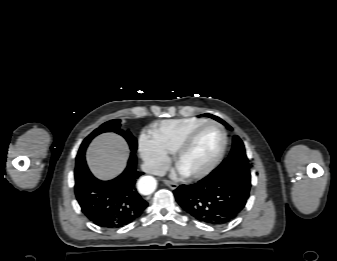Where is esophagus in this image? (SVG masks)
<instances>
[{"instance_id":"obj_1","label":"esophagus","mask_w":337,"mask_h":261,"mask_svg":"<svg viewBox=\"0 0 337 261\" xmlns=\"http://www.w3.org/2000/svg\"><path fill=\"white\" fill-rule=\"evenodd\" d=\"M165 185L168 186L171 189H176L178 187V184L169 180L164 181Z\"/></svg>"}]
</instances>
